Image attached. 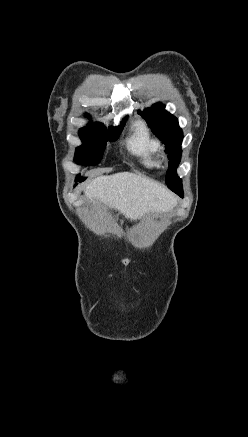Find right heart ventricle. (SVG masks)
Listing matches in <instances>:
<instances>
[{"mask_svg": "<svg viewBox=\"0 0 248 437\" xmlns=\"http://www.w3.org/2000/svg\"><path fill=\"white\" fill-rule=\"evenodd\" d=\"M128 150L149 169L159 167V142L151 135L144 122H136L133 131L127 140Z\"/></svg>", "mask_w": 248, "mask_h": 437, "instance_id": "obj_1", "label": "right heart ventricle"}]
</instances>
